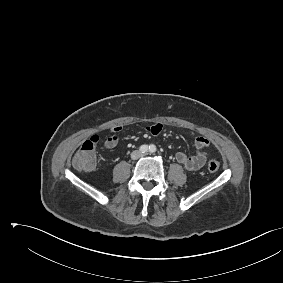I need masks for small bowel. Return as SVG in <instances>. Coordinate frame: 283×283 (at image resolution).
<instances>
[{"mask_svg": "<svg viewBox=\"0 0 283 283\" xmlns=\"http://www.w3.org/2000/svg\"><path fill=\"white\" fill-rule=\"evenodd\" d=\"M147 129L151 134L157 135L161 132L162 126L160 124H154ZM111 131L114 134L106 138L104 141V147L107 149H112L117 146L119 142V133L122 131V128L120 126H115L111 129ZM208 146L209 141L206 138L197 137L195 140V153L193 155H188L185 152L179 151L176 153L175 159L189 171L198 170L207 160L208 154L205 149Z\"/></svg>", "mask_w": 283, "mask_h": 283, "instance_id": "c3829d8e", "label": "small bowel"}]
</instances>
